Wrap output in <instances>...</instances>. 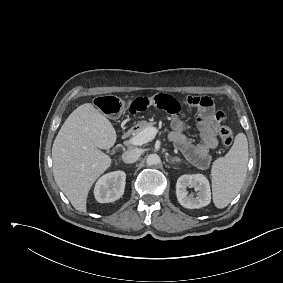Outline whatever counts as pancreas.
Listing matches in <instances>:
<instances>
[{
  "label": "pancreas",
  "instance_id": "pancreas-1",
  "mask_svg": "<svg viewBox=\"0 0 283 283\" xmlns=\"http://www.w3.org/2000/svg\"><path fill=\"white\" fill-rule=\"evenodd\" d=\"M155 122H144L139 126V128L136 131H128L127 135L132 134L134 137L142 132L144 129L149 128V127H154Z\"/></svg>",
  "mask_w": 283,
  "mask_h": 283
}]
</instances>
